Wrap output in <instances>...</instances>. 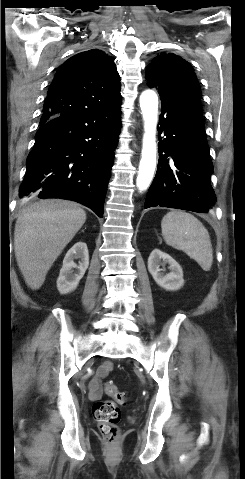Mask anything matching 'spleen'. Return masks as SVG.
<instances>
[{
    "label": "spleen",
    "instance_id": "spleen-1",
    "mask_svg": "<svg viewBox=\"0 0 245 479\" xmlns=\"http://www.w3.org/2000/svg\"><path fill=\"white\" fill-rule=\"evenodd\" d=\"M162 235L167 245L186 253L204 271H209L213 262V250L209 233L192 214L173 210L161 222Z\"/></svg>",
    "mask_w": 245,
    "mask_h": 479
}]
</instances>
